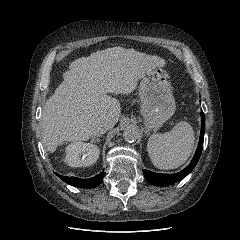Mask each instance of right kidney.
<instances>
[{
    "label": "right kidney",
    "instance_id": "obj_1",
    "mask_svg": "<svg viewBox=\"0 0 240 240\" xmlns=\"http://www.w3.org/2000/svg\"><path fill=\"white\" fill-rule=\"evenodd\" d=\"M99 153V148L91 143L73 142L66 147L64 161L71 167H87L97 161Z\"/></svg>",
    "mask_w": 240,
    "mask_h": 240
}]
</instances>
